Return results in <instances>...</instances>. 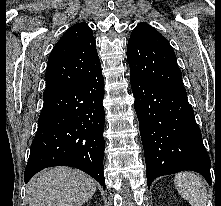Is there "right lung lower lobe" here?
<instances>
[{
    "instance_id": "obj_1",
    "label": "right lung lower lobe",
    "mask_w": 221,
    "mask_h": 206,
    "mask_svg": "<svg viewBox=\"0 0 221 206\" xmlns=\"http://www.w3.org/2000/svg\"><path fill=\"white\" fill-rule=\"evenodd\" d=\"M103 98L101 69L43 97L38 130L24 173L25 183L44 168L71 166L86 172L105 188Z\"/></svg>"
}]
</instances>
